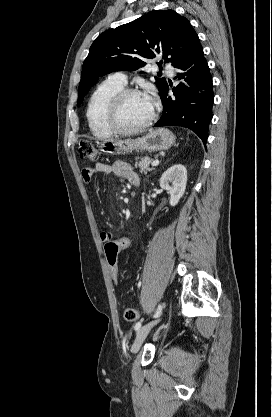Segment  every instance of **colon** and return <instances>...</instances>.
Wrapping results in <instances>:
<instances>
[{
	"label": "colon",
	"instance_id": "1",
	"mask_svg": "<svg viewBox=\"0 0 272 417\" xmlns=\"http://www.w3.org/2000/svg\"><path fill=\"white\" fill-rule=\"evenodd\" d=\"M79 155L84 160L94 161L98 156V150L91 141L83 140L80 142ZM129 247L130 240L127 237L112 238L105 243V258L114 284H118L119 280L118 254ZM123 313L128 321H134L139 317V311L136 308H125Z\"/></svg>",
	"mask_w": 272,
	"mask_h": 417
}]
</instances>
